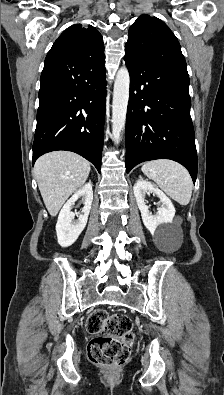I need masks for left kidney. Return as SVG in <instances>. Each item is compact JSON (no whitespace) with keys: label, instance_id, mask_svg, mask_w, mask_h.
<instances>
[{"label":"left kidney","instance_id":"1","mask_svg":"<svg viewBox=\"0 0 224 395\" xmlns=\"http://www.w3.org/2000/svg\"><path fill=\"white\" fill-rule=\"evenodd\" d=\"M133 190L144 226L152 235H156L159 238H166L169 235L168 225L172 223L175 216V208L171 200L163 191L142 178L134 184ZM150 193L159 197L162 203L156 215L149 213V207L145 203V196Z\"/></svg>","mask_w":224,"mask_h":395}]
</instances>
